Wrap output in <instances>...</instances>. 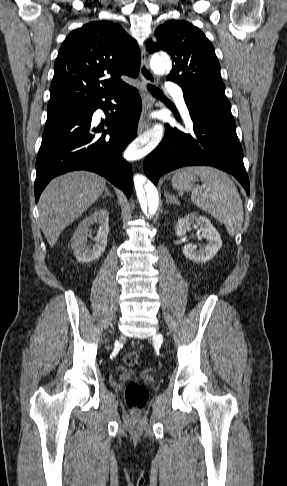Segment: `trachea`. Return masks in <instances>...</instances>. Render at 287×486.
Instances as JSON below:
<instances>
[{
	"label": "trachea",
	"instance_id": "trachea-1",
	"mask_svg": "<svg viewBox=\"0 0 287 486\" xmlns=\"http://www.w3.org/2000/svg\"><path fill=\"white\" fill-rule=\"evenodd\" d=\"M147 88L153 96H163V92L157 87L149 84Z\"/></svg>",
	"mask_w": 287,
	"mask_h": 486
}]
</instances>
